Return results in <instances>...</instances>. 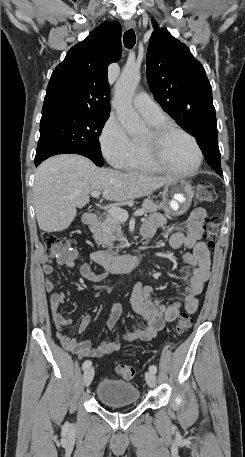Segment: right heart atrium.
<instances>
[{"label": "right heart atrium", "mask_w": 245, "mask_h": 457, "mask_svg": "<svg viewBox=\"0 0 245 457\" xmlns=\"http://www.w3.org/2000/svg\"><path fill=\"white\" fill-rule=\"evenodd\" d=\"M104 156L113 164H119L131 152L132 139L128 136L121 121L110 116L101 131L99 137Z\"/></svg>", "instance_id": "right-heart-atrium-1"}]
</instances>
